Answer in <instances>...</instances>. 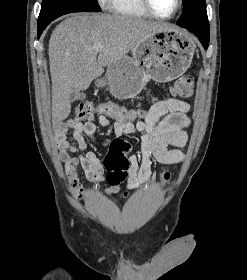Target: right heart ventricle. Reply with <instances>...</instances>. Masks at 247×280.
Returning a JSON list of instances; mask_svg holds the SVG:
<instances>
[{
  "mask_svg": "<svg viewBox=\"0 0 247 280\" xmlns=\"http://www.w3.org/2000/svg\"><path fill=\"white\" fill-rule=\"evenodd\" d=\"M108 9L117 15L147 18L150 15L141 5L140 0H106Z\"/></svg>",
  "mask_w": 247,
  "mask_h": 280,
  "instance_id": "e07e8e85",
  "label": "right heart ventricle"
}]
</instances>
